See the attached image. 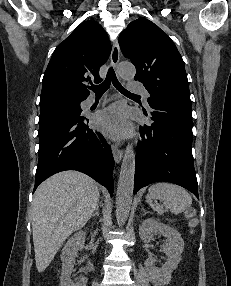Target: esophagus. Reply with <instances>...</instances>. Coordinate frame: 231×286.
Segmentation results:
<instances>
[{"mask_svg":"<svg viewBox=\"0 0 231 286\" xmlns=\"http://www.w3.org/2000/svg\"><path fill=\"white\" fill-rule=\"evenodd\" d=\"M119 59H120L119 44H118V41H115L112 47L111 55H110L111 65L113 67H116L118 65ZM112 154H113L115 162L120 163L123 157V152H122V149L119 148L118 145L116 144L112 145Z\"/></svg>","mask_w":231,"mask_h":286,"instance_id":"obj_1","label":"esophagus"}]
</instances>
